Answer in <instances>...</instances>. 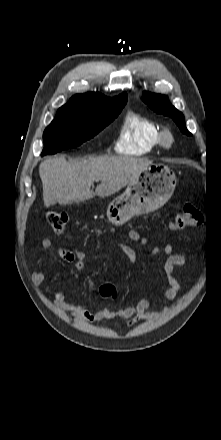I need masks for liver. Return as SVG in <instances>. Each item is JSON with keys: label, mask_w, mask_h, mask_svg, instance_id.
<instances>
[{"label": "liver", "mask_w": 221, "mask_h": 440, "mask_svg": "<svg viewBox=\"0 0 221 440\" xmlns=\"http://www.w3.org/2000/svg\"><path fill=\"white\" fill-rule=\"evenodd\" d=\"M151 164L146 159L127 156H104L72 162L64 156L47 159L39 166L44 205H68L95 195L108 197L128 185ZM95 181L100 184L93 192L90 188Z\"/></svg>", "instance_id": "obj_1"}]
</instances>
